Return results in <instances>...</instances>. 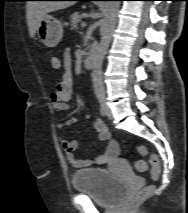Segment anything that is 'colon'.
<instances>
[{
    "label": "colon",
    "instance_id": "colon-1",
    "mask_svg": "<svg viewBox=\"0 0 188 213\" xmlns=\"http://www.w3.org/2000/svg\"><path fill=\"white\" fill-rule=\"evenodd\" d=\"M51 65L54 69H59L60 68V62L56 57H52L51 58ZM138 153L142 156H149V163L152 166V171H151V175L153 179L158 178L159 174H160V162L159 159L156 155L151 154L149 152V149L144 146L141 145L137 148ZM136 169L138 171H144L146 170V164L143 161H137L136 164ZM152 193V188L150 186H143L140 189H138L131 197V202L132 203H138L144 199H146L148 196H150V194Z\"/></svg>",
    "mask_w": 188,
    "mask_h": 213
}]
</instances>
